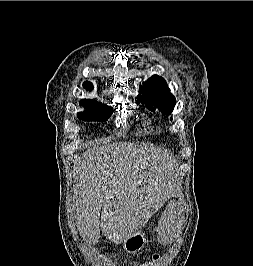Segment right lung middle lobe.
Returning a JSON list of instances; mask_svg holds the SVG:
<instances>
[{"mask_svg":"<svg viewBox=\"0 0 253 266\" xmlns=\"http://www.w3.org/2000/svg\"><path fill=\"white\" fill-rule=\"evenodd\" d=\"M87 111L78 113L79 119L83 121H106L112 114L113 108L99 103L84 105Z\"/></svg>","mask_w":253,"mask_h":266,"instance_id":"obj_1","label":"right lung middle lobe"}]
</instances>
